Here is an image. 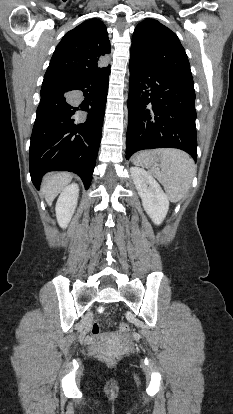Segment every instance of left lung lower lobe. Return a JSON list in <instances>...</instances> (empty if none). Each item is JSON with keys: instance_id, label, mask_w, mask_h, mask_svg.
I'll return each mask as SVG.
<instances>
[{"instance_id": "left-lung-lower-lobe-1", "label": "left lung lower lobe", "mask_w": 233, "mask_h": 414, "mask_svg": "<svg viewBox=\"0 0 233 414\" xmlns=\"http://www.w3.org/2000/svg\"><path fill=\"white\" fill-rule=\"evenodd\" d=\"M126 159L143 149L178 148L197 160L192 78L160 74L129 61Z\"/></svg>"}]
</instances>
